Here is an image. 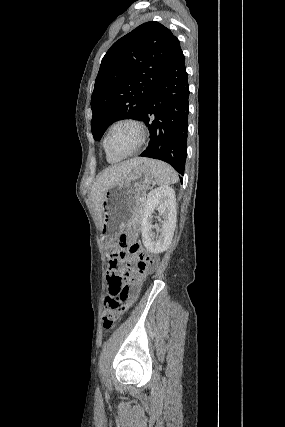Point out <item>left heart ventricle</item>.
I'll list each match as a JSON object with an SVG mask.
<instances>
[{"label":"left heart ventricle","mask_w":285,"mask_h":427,"mask_svg":"<svg viewBox=\"0 0 285 427\" xmlns=\"http://www.w3.org/2000/svg\"><path fill=\"white\" fill-rule=\"evenodd\" d=\"M138 141V133L134 126L121 124L112 129L108 137V147L116 154L131 151Z\"/></svg>","instance_id":"1"}]
</instances>
